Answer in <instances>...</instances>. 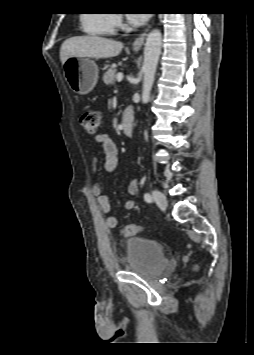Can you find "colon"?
Returning a JSON list of instances; mask_svg holds the SVG:
<instances>
[{
	"mask_svg": "<svg viewBox=\"0 0 254 355\" xmlns=\"http://www.w3.org/2000/svg\"><path fill=\"white\" fill-rule=\"evenodd\" d=\"M81 124L85 131L89 134H95L100 124L99 113L95 110L85 111L81 117ZM141 226L138 224H128L122 227V234L131 237L140 232Z\"/></svg>",
	"mask_w": 254,
	"mask_h": 355,
	"instance_id": "obj_1",
	"label": "colon"
}]
</instances>
